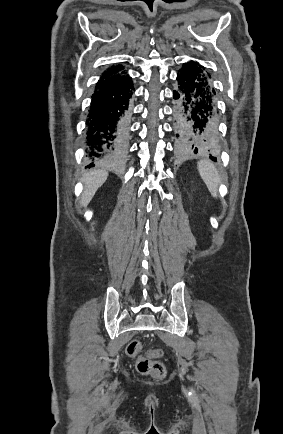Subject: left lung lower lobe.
<instances>
[{
  "instance_id": "left-lung-lower-lobe-1",
  "label": "left lung lower lobe",
  "mask_w": 283,
  "mask_h": 434,
  "mask_svg": "<svg viewBox=\"0 0 283 434\" xmlns=\"http://www.w3.org/2000/svg\"><path fill=\"white\" fill-rule=\"evenodd\" d=\"M216 92L211 76L190 61L179 71L173 90V120L176 143L183 149L215 152L217 141ZM213 161L215 157L210 155Z\"/></svg>"
}]
</instances>
